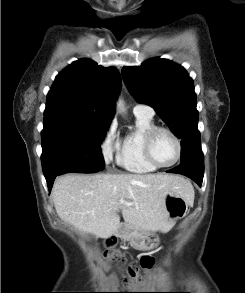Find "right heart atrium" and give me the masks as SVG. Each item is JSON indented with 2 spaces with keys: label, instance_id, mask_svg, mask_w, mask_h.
Returning <instances> with one entry per match:
<instances>
[{
  "label": "right heart atrium",
  "instance_id": "obj_1",
  "mask_svg": "<svg viewBox=\"0 0 245 293\" xmlns=\"http://www.w3.org/2000/svg\"><path fill=\"white\" fill-rule=\"evenodd\" d=\"M120 139L114 122L104 129L100 140V148L106 162H110L115 152L119 150Z\"/></svg>",
  "mask_w": 245,
  "mask_h": 293
}]
</instances>
